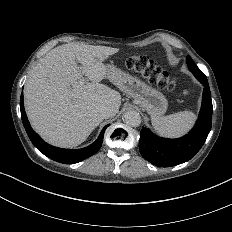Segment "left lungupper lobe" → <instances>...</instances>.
<instances>
[{
  "instance_id": "obj_1",
  "label": "left lung upper lobe",
  "mask_w": 232,
  "mask_h": 232,
  "mask_svg": "<svg viewBox=\"0 0 232 232\" xmlns=\"http://www.w3.org/2000/svg\"><path fill=\"white\" fill-rule=\"evenodd\" d=\"M186 61L190 71L198 80H207L206 75L197 67V65L193 62L190 56H187Z\"/></svg>"
}]
</instances>
